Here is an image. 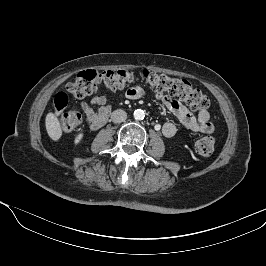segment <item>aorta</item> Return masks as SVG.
<instances>
[{
  "label": "aorta",
  "instance_id": "762f6f07",
  "mask_svg": "<svg viewBox=\"0 0 266 266\" xmlns=\"http://www.w3.org/2000/svg\"><path fill=\"white\" fill-rule=\"evenodd\" d=\"M144 117H145V113H144L143 110L137 109V110L134 111V118L136 120H143Z\"/></svg>",
  "mask_w": 266,
  "mask_h": 266
}]
</instances>
